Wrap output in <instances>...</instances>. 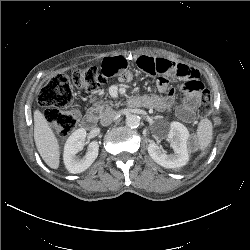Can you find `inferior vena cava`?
<instances>
[{"mask_svg":"<svg viewBox=\"0 0 250 250\" xmlns=\"http://www.w3.org/2000/svg\"><path fill=\"white\" fill-rule=\"evenodd\" d=\"M118 115V112L117 111H108V112H105L102 116H101V120H100V123L102 126H108L110 125L114 120L115 118L117 117Z\"/></svg>","mask_w":250,"mask_h":250,"instance_id":"inferior-vena-cava-1","label":"inferior vena cava"}]
</instances>
